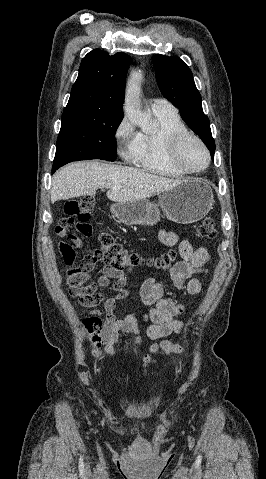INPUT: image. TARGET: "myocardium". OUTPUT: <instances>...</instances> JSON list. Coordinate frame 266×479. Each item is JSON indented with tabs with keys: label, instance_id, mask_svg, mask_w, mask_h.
<instances>
[{
	"label": "myocardium",
	"instance_id": "obj_1",
	"mask_svg": "<svg viewBox=\"0 0 266 479\" xmlns=\"http://www.w3.org/2000/svg\"><path fill=\"white\" fill-rule=\"evenodd\" d=\"M189 140H193L196 143L199 144V146L202 148V150L205 153L206 156V162L205 165L201 168L198 169H190L188 168L181 160L180 158V151L182 146ZM166 155L168 161L171 163L172 166H174L176 169L179 171L183 172L184 174H198L203 171H205L210 163H211V154L204 143V141L198 137L197 135L185 131V132H176L172 133L168 136L167 142H166Z\"/></svg>",
	"mask_w": 266,
	"mask_h": 479
}]
</instances>
